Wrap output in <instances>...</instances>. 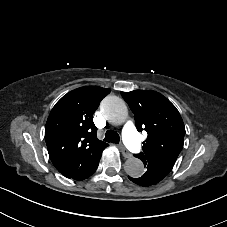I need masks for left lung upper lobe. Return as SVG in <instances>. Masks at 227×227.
Listing matches in <instances>:
<instances>
[{"mask_svg":"<svg viewBox=\"0 0 227 227\" xmlns=\"http://www.w3.org/2000/svg\"><path fill=\"white\" fill-rule=\"evenodd\" d=\"M121 95L135 115L137 130L148 134L143 152L134 156L168 175L184 143L185 126L179 111L156 91L134 90Z\"/></svg>","mask_w":227,"mask_h":227,"instance_id":"5c2ea615","label":"left lung upper lobe"}]
</instances>
